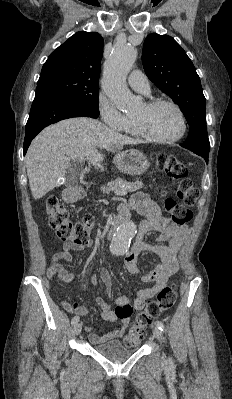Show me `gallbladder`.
Segmentation results:
<instances>
[{
	"label": "gallbladder",
	"instance_id": "bac80fb5",
	"mask_svg": "<svg viewBox=\"0 0 232 399\" xmlns=\"http://www.w3.org/2000/svg\"><path fill=\"white\" fill-rule=\"evenodd\" d=\"M72 170H67L64 176L63 186H68V188H76L79 184L78 176L85 172V169L81 167L80 163H72Z\"/></svg>",
	"mask_w": 232,
	"mask_h": 399
}]
</instances>
